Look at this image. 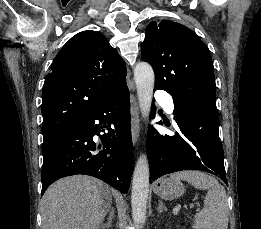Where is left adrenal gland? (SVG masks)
<instances>
[{"mask_svg":"<svg viewBox=\"0 0 261 229\" xmlns=\"http://www.w3.org/2000/svg\"><path fill=\"white\" fill-rule=\"evenodd\" d=\"M159 207L157 209L158 213H162V211H167V207H164L162 201H158Z\"/></svg>","mask_w":261,"mask_h":229,"instance_id":"obj_1","label":"left adrenal gland"}]
</instances>
